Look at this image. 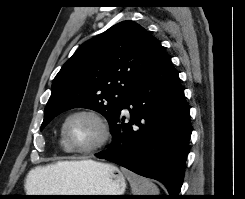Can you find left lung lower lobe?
I'll use <instances>...</instances> for the list:
<instances>
[{
    "mask_svg": "<svg viewBox=\"0 0 245 199\" xmlns=\"http://www.w3.org/2000/svg\"><path fill=\"white\" fill-rule=\"evenodd\" d=\"M125 108L130 112L128 123ZM110 126L114 141L95 156L160 181L169 199H178L192 128L184 89L165 51L124 100Z\"/></svg>",
    "mask_w": 245,
    "mask_h": 199,
    "instance_id": "left-lung-lower-lobe-1",
    "label": "left lung lower lobe"
}]
</instances>
